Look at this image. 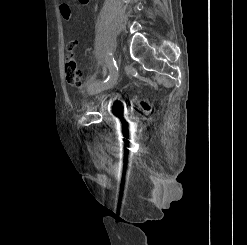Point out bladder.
<instances>
[{
  "label": "bladder",
  "mask_w": 247,
  "mask_h": 245,
  "mask_svg": "<svg viewBox=\"0 0 247 245\" xmlns=\"http://www.w3.org/2000/svg\"><path fill=\"white\" fill-rule=\"evenodd\" d=\"M100 101L102 103V108L106 109L107 108V104L109 103V101L112 102V105H114L117 101L115 100V98L111 95H103L100 97Z\"/></svg>",
  "instance_id": "31cf9c89"
}]
</instances>
